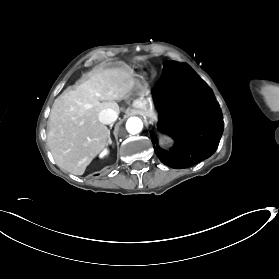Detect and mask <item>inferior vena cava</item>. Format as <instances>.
Wrapping results in <instances>:
<instances>
[{"mask_svg":"<svg viewBox=\"0 0 279 279\" xmlns=\"http://www.w3.org/2000/svg\"><path fill=\"white\" fill-rule=\"evenodd\" d=\"M117 117V112L111 108L104 109L99 113V120L103 124H110L114 122Z\"/></svg>","mask_w":279,"mask_h":279,"instance_id":"1","label":"inferior vena cava"}]
</instances>
